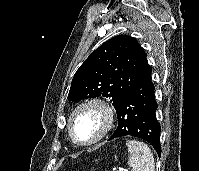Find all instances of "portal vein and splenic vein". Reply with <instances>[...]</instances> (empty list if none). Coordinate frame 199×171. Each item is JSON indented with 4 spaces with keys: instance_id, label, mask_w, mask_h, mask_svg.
Segmentation results:
<instances>
[{
    "instance_id": "18ae733b",
    "label": "portal vein and splenic vein",
    "mask_w": 199,
    "mask_h": 171,
    "mask_svg": "<svg viewBox=\"0 0 199 171\" xmlns=\"http://www.w3.org/2000/svg\"><path fill=\"white\" fill-rule=\"evenodd\" d=\"M119 171H129V168H122Z\"/></svg>"
}]
</instances>
